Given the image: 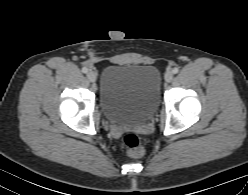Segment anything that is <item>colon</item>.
<instances>
[{
  "label": "colon",
  "mask_w": 248,
  "mask_h": 195,
  "mask_svg": "<svg viewBox=\"0 0 248 195\" xmlns=\"http://www.w3.org/2000/svg\"><path fill=\"white\" fill-rule=\"evenodd\" d=\"M122 145L131 156H141L144 153V141L143 139L133 133L126 134L122 139Z\"/></svg>",
  "instance_id": "colon-1"
}]
</instances>
